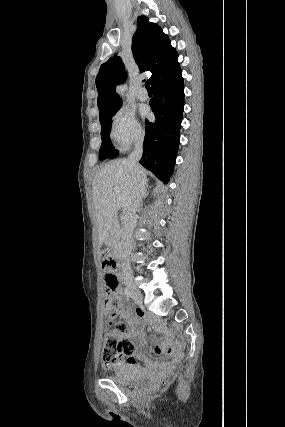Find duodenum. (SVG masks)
I'll list each match as a JSON object with an SVG mask.
<instances>
[{
	"label": "duodenum",
	"instance_id": "obj_1",
	"mask_svg": "<svg viewBox=\"0 0 285 427\" xmlns=\"http://www.w3.org/2000/svg\"><path fill=\"white\" fill-rule=\"evenodd\" d=\"M113 226H114V225H111V226H110V229H112V227H113Z\"/></svg>",
	"mask_w": 285,
	"mask_h": 427
}]
</instances>
